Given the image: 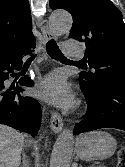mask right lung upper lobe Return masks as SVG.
Here are the masks:
<instances>
[{"mask_svg": "<svg viewBox=\"0 0 125 167\" xmlns=\"http://www.w3.org/2000/svg\"><path fill=\"white\" fill-rule=\"evenodd\" d=\"M32 20L28 0H0V59L12 51L33 47Z\"/></svg>", "mask_w": 125, "mask_h": 167, "instance_id": "right-lung-upper-lobe-1", "label": "right lung upper lobe"}]
</instances>
